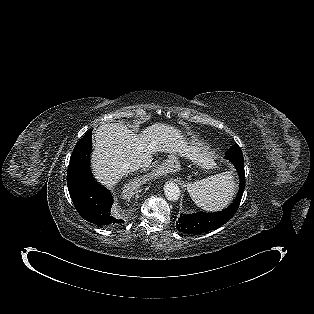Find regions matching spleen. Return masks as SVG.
Returning <instances> with one entry per match:
<instances>
[{
    "instance_id": "obj_1",
    "label": "spleen",
    "mask_w": 314,
    "mask_h": 314,
    "mask_svg": "<svg viewBox=\"0 0 314 314\" xmlns=\"http://www.w3.org/2000/svg\"><path fill=\"white\" fill-rule=\"evenodd\" d=\"M234 174L223 172L188 185L193 202L203 210L218 211L225 208L235 192Z\"/></svg>"
}]
</instances>
